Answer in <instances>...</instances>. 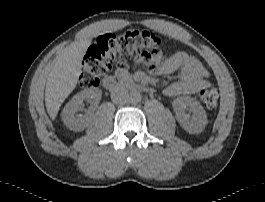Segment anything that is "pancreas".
<instances>
[{"label": "pancreas", "mask_w": 265, "mask_h": 202, "mask_svg": "<svg viewBox=\"0 0 265 202\" xmlns=\"http://www.w3.org/2000/svg\"><path fill=\"white\" fill-rule=\"evenodd\" d=\"M127 80H132V77H131V75H126V77H125Z\"/></svg>", "instance_id": "cf45deb5"}]
</instances>
